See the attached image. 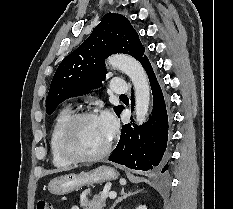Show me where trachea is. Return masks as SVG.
Returning <instances> with one entry per match:
<instances>
[{
	"label": "trachea",
	"instance_id": "1",
	"mask_svg": "<svg viewBox=\"0 0 233 209\" xmlns=\"http://www.w3.org/2000/svg\"><path fill=\"white\" fill-rule=\"evenodd\" d=\"M123 96H126V95H124V94L120 95V97H123Z\"/></svg>",
	"mask_w": 233,
	"mask_h": 209
}]
</instances>
